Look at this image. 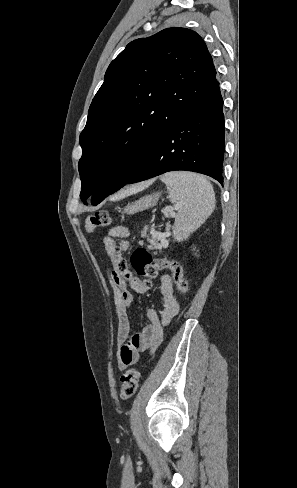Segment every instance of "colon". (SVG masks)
I'll list each match as a JSON object with an SVG mask.
<instances>
[{"label": "colon", "instance_id": "obj_1", "mask_svg": "<svg viewBox=\"0 0 297 488\" xmlns=\"http://www.w3.org/2000/svg\"><path fill=\"white\" fill-rule=\"evenodd\" d=\"M111 221L108 211L101 210L91 215L87 221V229L93 231L98 227L109 225ZM113 273L124 280H138L129 270L128 261L121 255L119 250L112 256ZM131 266L138 277L143 278L146 283L155 279L163 270H168L176 284L179 293L184 294L188 290V282L184 277L182 266L168 257L156 256L146 249H136L131 256ZM140 373L136 368H129L124 371L120 378L119 393L122 399L131 398L138 387Z\"/></svg>", "mask_w": 297, "mask_h": 488}]
</instances>
